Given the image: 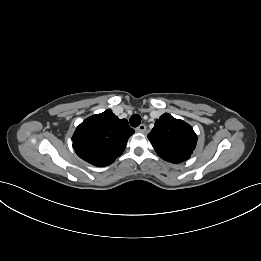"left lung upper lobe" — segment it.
I'll list each match as a JSON object with an SVG mask.
<instances>
[{"mask_svg": "<svg viewBox=\"0 0 261 261\" xmlns=\"http://www.w3.org/2000/svg\"><path fill=\"white\" fill-rule=\"evenodd\" d=\"M148 139L158 155L171 163L187 160L197 143V135L193 128L168 113L161 115L155 122Z\"/></svg>", "mask_w": 261, "mask_h": 261, "instance_id": "5c2ea615", "label": "left lung upper lobe"}]
</instances>
